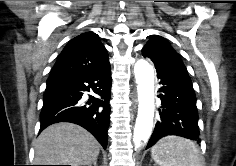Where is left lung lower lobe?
I'll list each match as a JSON object with an SVG mask.
<instances>
[{
    "mask_svg": "<svg viewBox=\"0 0 236 166\" xmlns=\"http://www.w3.org/2000/svg\"><path fill=\"white\" fill-rule=\"evenodd\" d=\"M160 80L161 107L146 149L167 135L182 136L200 143L196 96L183 63L156 68Z\"/></svg>",
    "mask_w": 236,
    "mask_h": 166,
    "instance_id": "0a47b994",
    "label": "left lung lower lobe"
}]
</instances>
